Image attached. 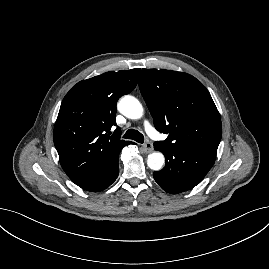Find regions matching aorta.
I'll return each mask as SVG.
<instances>
[{"label": "aorta", "instance_id": "1", "mask_svg": "<svg viewBox=\"0 0 269 269\" xmlns=\"http://www.w3.org/2000/svg\"><path fill=\"white\" fill-rule=\"evenodd\" d=\"M118 110L121 114L130 119H139L143 116L141 103L130 95H126L120 99L118 102ZM164 162L165 158L161 152H153L148 155L147 165L154 171L161 170Z\"/></svg>", "mask_w": 269, "mask_h": 269}]
</instances>
